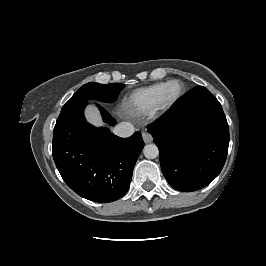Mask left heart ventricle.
Listing matches in <instances>:
<instances>
[{"mask_svg": "<svg viewBox=\"0 0 266 266\" xmlns=\"http://www.w3.org/2000/svg\"><path fill=\"white\" fill-rule=\"evenodd\" d=\"M178 92H179V86L177 84H172L167 90L166 94L167 99L175 97L178 94Z\"/></svg>", "mask_w": 266, "mask_h": 266, "instance_id": "1", "label": "left heart ventricle"}]
</instances>
